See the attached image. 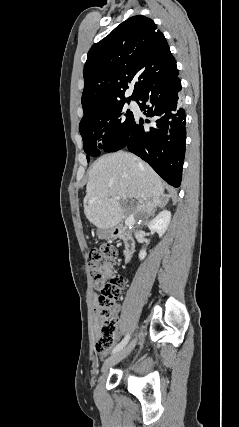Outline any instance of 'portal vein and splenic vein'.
<instances>
[{
	"mask_svg": "<svg viewBox=\"0 0 239 427\" xmlns=\"http://www.w3.org/2000/svg\"><path fill=\"white\" fill-rule=\"evenodd\" d=\"M117 199H119V197H117ZM133 223H134V219L133 218L132 219H126V221H125V225H131Z\"/></svg>",
	"mask_w": 239,
	"mask_h": 427,
	"instance_id": "portal-vein-and-splenic-vein-1",
	"label": "portal vein and splenic vein"
}]
</instances>
